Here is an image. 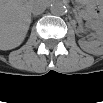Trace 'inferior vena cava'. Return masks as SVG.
Returning <instances> with one entry per match:
<instances>
[{"mask_svg": "<svg viewBox=\"0 0 103 103\" xmlns=\"http://www.w3.org/2000/svg\"><path fill=\"white\" fill-rule=\"evenodd\" d=\"M46 3L44 1L36 0L31 5V12L33 15L42 14L46 9Z\"/></svg>", "mask_w": 103, "mask_h": 103, "instance_id": "inferior-vena-cava-1", "label": "inferior vena cava"}]
</instances>
